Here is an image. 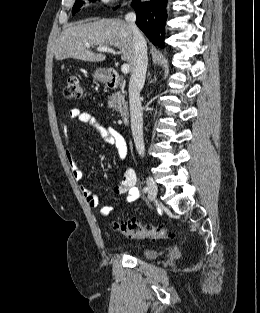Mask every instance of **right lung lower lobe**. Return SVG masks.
I'll list each match as a JSON object with an SVG mask.
<instances>
[{"mask_svg":"<svg viewBox=\"0 0 260 313\" xmlns=\"http://www.w3.org/2000/svg\"><path fill=\"white\" fill-rule=\"evenodd\" d=\"M167 0L134 1L132 7L136 11L137 26L156 46L164 48V26L167 18Z\"/></svg>","mask_w":260,"mask_h":313,"instance_id":"1","label":"right lung lower lobe"}]
</instances>
